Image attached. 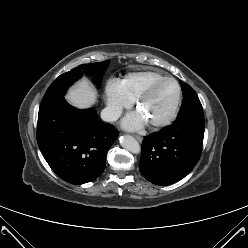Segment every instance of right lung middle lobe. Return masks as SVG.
<instances>
[{
	"instance_id": "right-lung-middle-lobe-1",
	"label": "right lung middle lobe",
	"mask_w": 248,
	"mask_h": 248,
	"mask_svg": "<svg viewBox=\"0 0 248 248\" xmlns=\"http://www.w3.org/2000/svg\"><path fill=\"white\" fill-rule=\"evenodd\" d=\"M108 65V60L100 63L80 65L72 69L71 71L60 75L46 91L40 104V109L64 97V94L67 91L68 87L71 86L75 81L80 79L83 74L95 76L96 83L99 85L102 79V75Z\"/></svg>"
}]
</instances>
